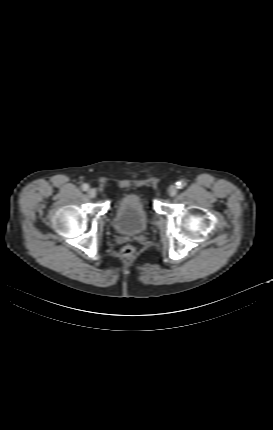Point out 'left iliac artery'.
<instances>
[{
    "label": "left iliac artery",
    "mask_w": 273,
    "mask_h": 430,
    "mask_svg": "<svg viewBox=\"0 0 273 430\" xmlns=\"http://www.w3.org/2000/svg\"><path fill=\"white\" fill-rule=\"evenodd\" d=\"M176 185H177L178 189H182L183 187L186 186V182L185 181H179L176 183Z\"/></svg>",
    "instance_id": "44dca946"
}]
</instances>
